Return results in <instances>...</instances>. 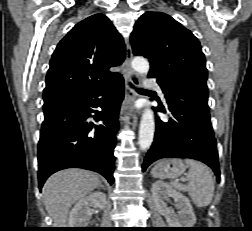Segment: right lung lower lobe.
I'll return each instance as SVG.
<instances>
[{
    "instance_id": "1",
    "label": "right lung lower lobe",
    "mask_w": 252,
    "mask_h": 231,
    "mask_svg": "<svg viewBox=\"0 0 252 231\" xmlns=\"http://www.w3.org/2000/svg\"><path fill=\"white\" fill-rule=\"evenodd\" d=\"M104 95L105 100L98 99ZM124 98L122 77L108 85L83 91L61 108L45 115L38 143L39 189L46 179L65 168H84L114 182V148L118 130V113ZM102 111L93 110L98 106ZM95 112L94 125L88 119Z\"/></svg>"
}]
</instances>
